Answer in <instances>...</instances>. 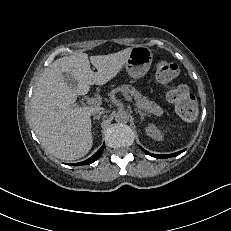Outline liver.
<instances>
[{
  "instance_id": "6515ba94",
  "label": "liver",
  "mask_w": 231,
  "mask_h": 231,
  "mask_svg": "<svg viewBox=\"0 0 231 231\" xmlns=\"http://www.w3.org/2000/svg\"><path fill=\"white\" fill-rule=\"evenodd\" d=\"M132 48L108 55L90 56L78 52L56 59L41 74L31 101V125L45 151L62 160L85 156L93 144L91 114L99 106L78 107V95H85L93 84L103 85L125 65ZM91 64L97 69L93 72ZM77 81L75 88L65 75Z\"/></svg>"
}]
</instances>
